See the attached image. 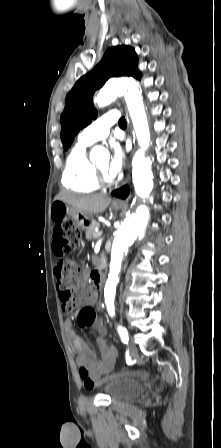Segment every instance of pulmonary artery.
<instances>
[{
	"instance_id": "e3ab8cb5",
	"label": "pulmonary artery",
	"mask_w": 221,
	"mask_h": 448,
	"mask_svg": "<svg viewBox=\"0 0 221 448\" xmlns=\"http://www.w3.org/2000/svg\"><path fill=\"white\" fill-rule=\"evenodd\" d=\"M118 120L119 112L116 109L108 111L82 130L78 137L79 143L88 146L107 137L111 125Z\"/></svg>"
}]
</instances>
